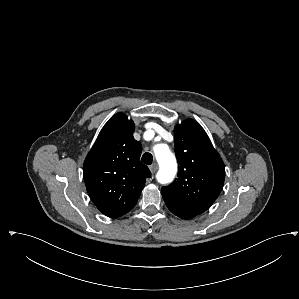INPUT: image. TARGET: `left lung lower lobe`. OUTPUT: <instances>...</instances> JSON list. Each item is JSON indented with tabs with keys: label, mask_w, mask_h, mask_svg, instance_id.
<instances>
[{
	"label": "left lung lower lobe",
	"mask_w": 299,
	"mask_h": 299,
	"mask_svg": "<svg viewBox=\"0 0 299 299\" xmlns=\"http://www.w3.org/2000/svg\"><path fill=\"white\" fill-rule=\"evenodd\" d=\"M168 209L175 214L176 216L183 218V219H190L192 217H195L197 214L190 212L180 206H178L176 203L171 201L170 199L163 197Z\"/></svg>",
	"instance_id": "1"
}]
</instances>
